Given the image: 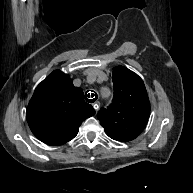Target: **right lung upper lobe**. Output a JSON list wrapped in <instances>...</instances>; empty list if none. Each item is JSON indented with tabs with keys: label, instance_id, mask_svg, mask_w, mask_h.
<instances>
[{
	"label": "right lung upper lobe",
	"instance_id": "right-lung-upper-lobe-1",
	"mask_svg": "<svg viewBox=\"0 0 193 193\" xmlns=\"http://www.w3.org/2000/svg\"><path fill=\"white\" fill-rule=\"evenodd\" d=\"M95 110L83 99V91L60 70L53 71L35 89L26 110L33 134L48 145L73 139L81 123Z\"/></svg>",
	"mask_w": 193,
	"mask_h": 193
}]
</instances>
